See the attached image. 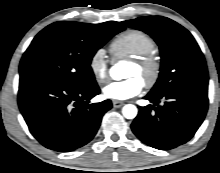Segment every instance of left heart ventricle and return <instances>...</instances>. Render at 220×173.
I'll use <instances>...</instances> for the list:
<instances>
[{
	"mask_svg": "<svg viewBox=\"0 0 220 173\" xmlns=\"http://www.w3.org/2000/svg\"><path fill=\"white\" fill-rule=\"evenodd\" d=\"M126 77H128V78L138 77L142 80V73H141L140 69L137 66L130 63L128 68H127Z\"/></svg>",
	"mask_w": 220,
	"mask_h": 173,
	"instance_id": "b2bd125f",
	"label": "left heart ventricle"
}]
</instances>
